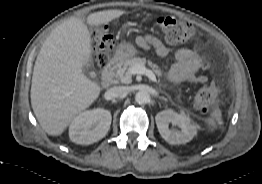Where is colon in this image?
<instances>
[{"label": "colon", "instance_id": "1", "mask_svg": "<svg viewBox=\"0 0 262 184\" xmlns=\"http://www.w3.org/2000/svg\"><path fill=\"white\" fill-rule=\"evenodd\" d=\"M156 25L163 33L167 42L171 44H183L188 42L194 35V26L186 21L171 16H158ZM93 46L95 60L99 68H105L111 61V50L114 46L113 37L102 27L93 28ZM215 86L204 81L194 98L195 107L202 113H207L216 99Z\"/></svg>", "mask_w": 262, "mask_h": 184}]
</instances>
